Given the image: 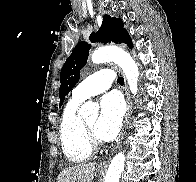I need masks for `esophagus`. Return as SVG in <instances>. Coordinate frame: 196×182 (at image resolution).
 <instances>
[{
    "instance_id": "obj_1",
    "label": "esophagus",
    "mask_w": 196,
    "mask_h": 182,
    "mask_svg": "<svg viewBox=\"0 0 196 182\" xmlns=\"http://www.w3.org/2000/svg\"><path fill=\"white\" fill-rule=\"evenodd\" d=\"M125 96H126V101H127V113H126L123 129L121 131V138H120L119 142L117 143L115 149H117L119 147V145L121 144L122 137L125 134L126 129H127V123H128V120L130 117V112H131V102H130V96H129L126 80H125ZM106 165H107L106 161H101L97 164L98 167H105Z\"/></svg>"
}]
</instances>
